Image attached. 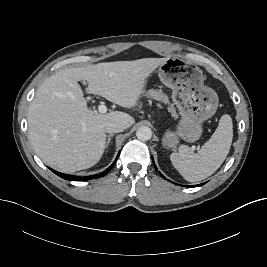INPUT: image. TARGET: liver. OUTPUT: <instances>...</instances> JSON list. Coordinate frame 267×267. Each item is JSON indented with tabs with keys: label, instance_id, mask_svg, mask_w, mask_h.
Listing matches in <instances>:
<instances>
[{
	"label": "liver",
	"instance_id": "obj_1",
	"mask_svg": "<svg viewBox=\"0 0 267 267\" xmlns=\"http://www.w3.org/2000/svg\"><path fill=\"white\" fill-rule=\"evenodd\" d=\"M167 58L98 63L68 68L47 78L28 109V137L42 161L62 172L72 173L94 166L102 157L105 124L117 120L129 128L134 118L112 111L90 110L79 81L87 90L119 106L137 105L146 78Z\"/></svg>",
	"mask_w": 267,
	"mask_h": 267
}]
</instances>
